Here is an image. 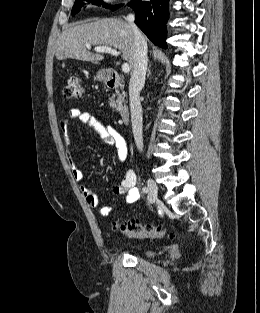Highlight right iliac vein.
<instances>
[{"instance_id":"obj_1","label":"right iliac vein","mask_w":260,"mask_h":313,"mask_svg":"<svg viewBox=\"0 0 260 313\" xmlns=\"http://www.w3.org/2000/svg\"><path fill=\"white\" fill-rule=\"evenodd\" d=\"M147 198L149 203H155L158 201V186L157 184L152 180L148 179L147 181Z\"/></svg>"}]
</instances>
